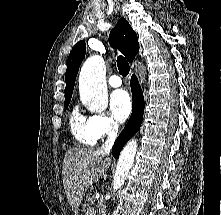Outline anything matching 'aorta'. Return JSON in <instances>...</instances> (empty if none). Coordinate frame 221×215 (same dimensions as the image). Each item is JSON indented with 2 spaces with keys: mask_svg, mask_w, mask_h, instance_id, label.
<instances>
[{
  "mask_svg": "<svg viewBox=\"0 0 221 215\" xmlns=\"http://www.w3.org/2000/svg\"><path fill=\"white\" fill-rule=\"evenodd\" d=\"M79 92L87 108L96 113H102L108 106V93L106 85V67L103 58L94 55L83 64L79 76ZM137 151V141L130 140L120 153L112 188L120 189L133 166Z\"/></svg>",
  "mask_w": 221,
  "mask_h": 215,
  "instance_id": "obj_1",
  "label": "aorta"
}]
</instances>
